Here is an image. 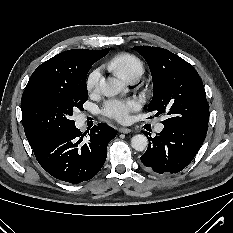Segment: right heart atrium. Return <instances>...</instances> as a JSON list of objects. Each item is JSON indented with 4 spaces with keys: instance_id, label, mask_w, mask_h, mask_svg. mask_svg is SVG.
Here are the masks:
<instances>
[{
    "instance_id": "d8ad5b80",
    "label": "right heart atrium",
    "mask_w": 233,
    "mask_h": 233,
    "mask_svg": "<svg viewBox=\"0 0 233 233\" xmlns=\"http://www.w3.org/2000/svg\"><path fill=\"white\" fill-rule=\"evenodd\" d=\"M101 79V71L95 69L90 72L86 80V87L89 93H95L99 89V83Z\"/></svg>"
}]
</instances>
